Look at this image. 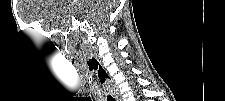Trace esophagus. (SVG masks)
Here are the masks:
<instances>
[{"label":"esophagus","instance_id":"1","mask_svg":"<svg viewBox=\"0 0 225 101\" xmlns=\"http://www.w3.org/2000/svg\"><path fill=\"white\" fill-rule=\"evenodd\" d=\"M118 101H122L120 97L116 96Z\"/></svg>","mask_w":225,"mask_h":101}]
</instances>
